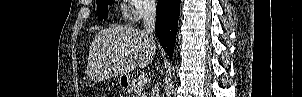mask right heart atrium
<instances>
[{
	"label": "right heart atrium",
	"mask_w": 302,
	"mask_h": 97,
	"mask_svg": "<svg viewBox=\"0 0 302 97\" xmlns=\"http://www.w3.org/2000/svg\"><path fill=\"white\" fill-rule=\"evenodd\" d=\"M130 7L125 11L124 17L130 23H138L154 12L152 1L131 0Z\"/></svg>",
	"instance_id": "1"
}]
</instances>
